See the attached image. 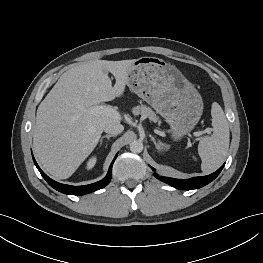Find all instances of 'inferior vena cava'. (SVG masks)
<instances>
[{
    "label": "inferior vena cava",
    "instance_id": "inferior-vena-cava-1",
    "mask_svg": "<svg viewBox=\"0 0 263 263\" xmlns=\"http://www.w3.org/2000/svg\"><path fill=\"white\" fill-rule=\"evenodd\" d=\"M124 130L123 125H121L119 122H113L109 123L104 127V131L111 135H118Z\"/></svg>",
    "mask_w": 263,
    "mask_h": 263
}]
</instances>
